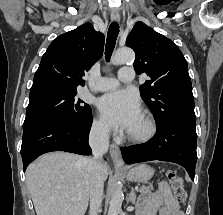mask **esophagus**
<instances>
[{"instance_id": "1", "label": "esophagus", "mask_w": 223, "mask_h": 215, "mask_svg": "<svg viewBox=\"0 0 223 215\" xmlns=\"http://www.w3.org/2000/svg\"><path fill=\"white\" fill-rule=\"evenodd\" d=\"M111 20L113 22H119L120 21V15L116 10H113L111 12ZM110 156H111L115 165H118V166L123 165V160H122V157H121L120 148L118 147V145H115L114 143H112L110 145Z\"/></svg>"}]
</instances>
